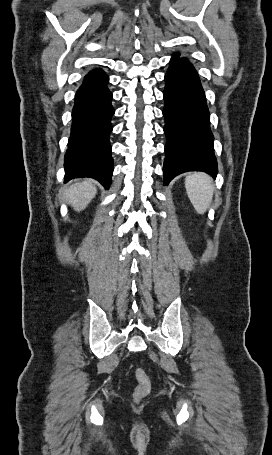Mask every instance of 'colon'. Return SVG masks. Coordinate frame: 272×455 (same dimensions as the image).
I'll list each match as a JSON object with an SVG mask.
<instances>
[{
	"instance_id": "obj_1",
	"label": "colon",
	"mask_w": 272,
	"mask_h": 455,
	"mask_svg": "<svg viewBox=\"0 0 272 455\" xmlns=\"http://www.w3.org/2000/svg\"><path fill=\"white\" fill-rule=\"evenodd\" d=\"M135 378L137 380V386L134 390V398L140 400L147 396L150 392V380L141 368L135 370Z\"/></svg>"
}]
</instances>
